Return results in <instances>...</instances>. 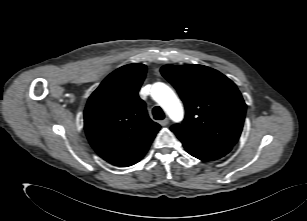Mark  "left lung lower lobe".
Segmentation results:
<instances>
[{
    "instance_id": "obj_1",
    "label": "left lung lower lobe",
    "mask_w": 307,
    "mask_h": 221,
    "mask_svg": "<svg viewBox=\"0 0 307 221\" xmlns=\"http://www.w3.org/2000/svg\"><path fill=\"white\" fill-rule=\"evenodd\" d=\"M178 138L180 139L185 150L189 154L204 161L217 160L225 156L232 149V147L230 146L213 145V144L193 141L182 137Z\"/></svg>"
}]
</instances>
